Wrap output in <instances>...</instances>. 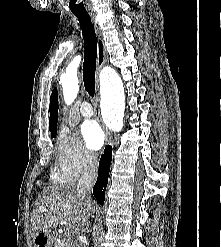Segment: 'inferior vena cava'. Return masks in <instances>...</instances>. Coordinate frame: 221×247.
Returning a JSON list of instances; mask_svg holds the SVG:
<instances>
[{
	"label": "inferior vena cava",
	"instance_id": "obj_1",
	"mask_svg": "<svg viewBox=\"0 0 221 247\" xmlns=\"http://www.w3.org/2000/svg\"><path fill=\"white\" fill-rule=\"evenodd\" d=\"M98 173L97 156L94 153L87 152L84 169L77 183L76 190L78 194L86 201L91 199L92 187L96 182ZM74 247H84L82 243H74Z\"/></svg>",
	"mask_w": 221,
	"mask_h": 247
}]
</instances>
